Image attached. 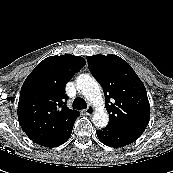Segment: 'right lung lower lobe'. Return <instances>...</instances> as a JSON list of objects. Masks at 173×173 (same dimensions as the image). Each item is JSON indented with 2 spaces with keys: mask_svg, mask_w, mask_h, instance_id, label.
I'll use <instances>...</instances> for the list:
<instances>
[{
  "mask_svg": "<svg viewBox=\"0 0 173 173\" xmlns=\"http://www.w3.org/2000/svg\"><path fill=\"white\" fill-rule=\"evenodd\" d=\"M73 121L71 124L63 128L57 135H55L52 138H49L45 141H42L39 145L45 146V147H57L63 143H65L69 137L71 136V132L74 125Z\"/></svg>",
  "mask_w": 173,
  "mask_h": 173,
  "instance_id": "1",
  "label": "right lung lower lobe"
}]
</instances>
